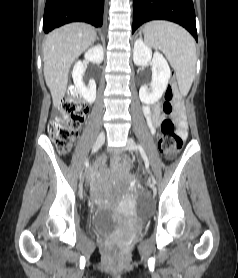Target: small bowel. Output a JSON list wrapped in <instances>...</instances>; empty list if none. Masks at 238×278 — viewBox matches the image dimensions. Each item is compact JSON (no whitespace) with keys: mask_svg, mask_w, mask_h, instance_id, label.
<instances>
[{"mask_svg":"<svg viewBox=\"0 0 238 278\" xmlns=\"http://www.w3.org/2000/svg\"><path fill=\"white\" fill-rule=\"evenodd\" d=\"M143 114L145 116V119L147 121V124H148L151 132L155 133L157 127L159 126V124L161 123V121L163 119V114L161 111V104L157 103L154 105L153 108H151L149 105H145L143 107ZM175 121L178 125L179 135L182 138H185L187 136L186 122H185V118L183 115L180 101L176 102Z\"/></svg>","mask_w":238,"mask_h":278,"instance_id":"1","label":"small bowel"}]
</instances>
